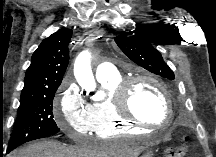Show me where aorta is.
<instances>
[{"mask_svg": "<svg viewBox=\"0 0 216 157\" xmlns=\"http://www.w3.org/2000/svg\"><path fill=\"white\" fill-rule=\"evenodd\" d=\"M74 75L78 84L86 90H93L95 88V80L91 69L90 54L82 52L76 59L74 64ZM96 99L101 96L97 95Z\"/></svg>", "mask_w": 216, "mask_h": 157, "instance_id": "aorta-1", "label": "aorta"}]
</instances>
